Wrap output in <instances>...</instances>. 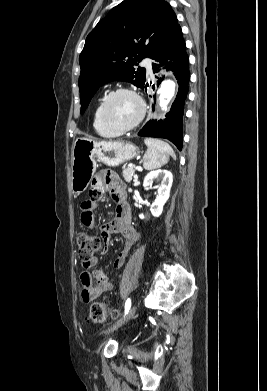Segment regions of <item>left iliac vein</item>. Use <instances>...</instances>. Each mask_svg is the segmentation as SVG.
Segmentation results:
<instances>
[{
  "instance_id": "1",
  "label": "left iliac vein",
  "mask_w": 267,
  "mask_h": 391,
  "mask_svg": "<svg viewBox=\"0 0 267 391\" xmlns=\"http://www.w3.org/2000/svg\"><path fill=\"white\" fill-rule=\"evenodd\" d=\"M137 310V305H133L129 311V314L127 315V317L119 324L115 325L114 327H112L111 329H108L106 332H105V335H109L111 333H113L114 331H116L119 327H121L122 325H124L129 319H131L135 312Z\"/></svg>"
}]
</instances>
